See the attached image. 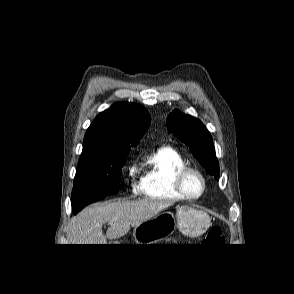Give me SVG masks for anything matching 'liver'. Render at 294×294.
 <instances>
[{"instance_id": "6515ba94", "label": "liver", "mask_w": 294, "mask_h": 294, "mask_svg": "<svg viewBox=\"0 0 294 294\" xmlns=\"http://www.w3.org/2000/svg\"><path fill=\"white\" fill-rule=\"evenodd\" d=\"M172 205L169 201L142 199L96 204L73 217L67 228L69 244H107V239H118L141 223L158 215ZM110 227L103 234L102 225Z\"/></svg>"}]
</instances>
